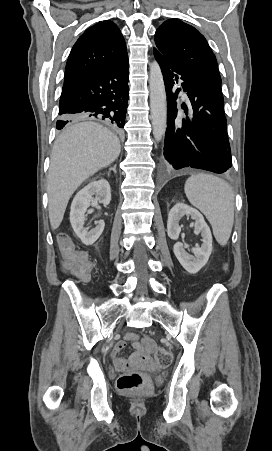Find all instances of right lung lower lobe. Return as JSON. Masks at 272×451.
I'll list each match as a JSON object with an SVG mask.
<instances>
[{
    "instance_id": "98d812e1",
    "label": "right lung lower lobe",
    "mask_w": 272,
    "mask_h": 451,
    "mask_svg": "<svg viewBox=\"0 0 272 451\" xmlns=\"http://www.w3.org/2000/svg\"><path fill=\"white\" fill-rule=\"evenodd\" d=\"M128 67L126 56L105 68L66 79L57 129L85 118L104 120L116 130L124 128L129 98Z\"/></svg>"
}]
</instances>
